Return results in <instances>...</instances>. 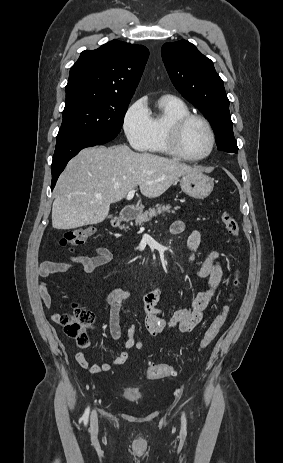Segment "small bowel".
Wrapping results in <instances>:
<instances>
[{"instance_id":"c3829d8e","label":"small bowel","mask_w":283,"mask_h":463,"mask_svg":"<svg viewBox=\"0 0 283 463\" xmlns=\"http://www.w3.org/2000/svg\"><path fill=\"white\" fill-rule=\"evenodd\" d=\"M186 231V225L182 221H174L170 227L172 235H181ZM201 244V234L198 230H191L187 238V247L189 249L188 262L193 265L196 261L197 251ZM218 253L211 251L203 262L194 268V275L200 279H206V287L197 293L191 301L189 307L175 310L170 318H166L164 311L158 307L162 291L155 288L147 292L142 299L143 308L146 314L145 325L152 336H165L172 330L180 333L192 331L201 321L212 297L219 287L223 271L218 261ZM112 260V253L106 247L96 248V255L70 256L69 262L45 261L38 270V276L41 279L38 286L39 296L47 308L53 305L52 297L49 293L48 284L44 278L55 273H68L78 271L82 274H91L97 268L108 264ZM132 297V293L122 288H116L106 298V304L109 308V330L114 340L124 339V350L111 361L100 364L91 363L85 353L78 352L75 359L78 364L90 373H102L109 371L113 366L122 365L129 357V351L133 348L141 349L143 342L135 338L136 327L131 325L128 328L126 336L122 332L121 306L126 300ZM61 314L53 313L52 319L60 321ZM86 345L81 348H86Z\"/></svg>"}]
</instances>
